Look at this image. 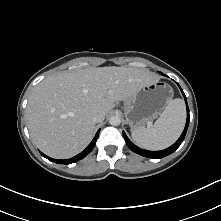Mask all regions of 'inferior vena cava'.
Instances as JSON below:
<instances>
[{
    "instance_id": "1",
    "label": "inferior vena cava",
    "mask_w": 221,
    "mask_h": 221,
    "mask_svg": "<svg viewBox=\"0 0 221 221\" xmlns=\"http://www.w3.org/2000/svg\"><path fill=\"white\" fill-rule=\"evenodd\" d=\"M104 118L105 116L102 113H97L93 116L92 120L93 122L98 123V122H102Z\"/></svg>"
}]
</instances>
